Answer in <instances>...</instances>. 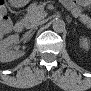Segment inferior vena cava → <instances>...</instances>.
<instances>
[{
  "label": "inferior vena cava",
  "instance_id": "inferior-vena-cava-1",
  "mask_svg": "<svg viewBox=\"0 0 91 91\" xmlns=\"http://www.w3.org/2000/svg\"><path fill=\"white\" fill-rule=\"evenodd\" d=\"M43 23V21H36V22H32L30 24L27 25V28H36L38 25H41Z\"/></svg>",
  "mask_w": 91,
  "mask_h": 91
}]
</instances>
